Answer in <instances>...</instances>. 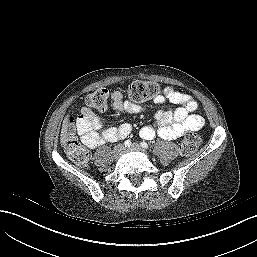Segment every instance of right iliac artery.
Masks as SVG:
<instances>
[{"label": "right iliac artery", "instance_id": "right-iliac-artery-1", "mask_svg": "<svg viewBox=\"0 0 257 257\" xmlns=\"http://www.w3.org/2000/svg\"><path fill=\"white\" fill-rule=\"evenodd\" d=\"M131 141L130 140H126L125 142H124V146L125 147H130L131 146Z\"/></svg>", "mask_w": 257, "mask_h": 257}]
</instances>
